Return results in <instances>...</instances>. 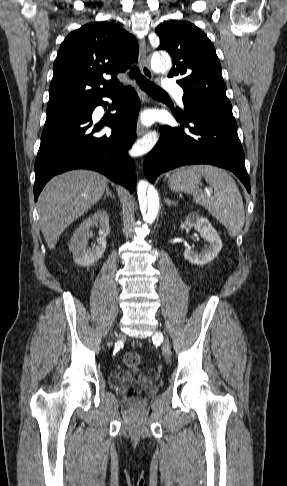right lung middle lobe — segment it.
<instances>
[{"label":"right lung middle lobe","instance_id":"right-lung-middle-lobe-1","mask_svg":"<svg viewBox=\"0 0 287 486\" xmlns=\"http://www.w3.org/2000/svg\"><path fill=\"white\" fill-rule=\"evenodd\" d=\"M84 110L85 105L48 109L45 123L54 122L65 117L80 115L84 112Z\"/></svg>","mask_w":287,"mask_h":486}]
</instances>
